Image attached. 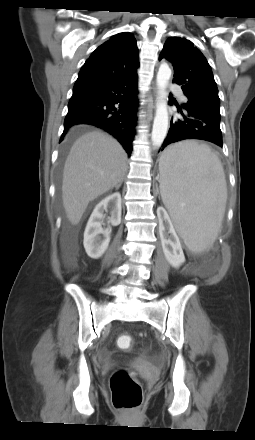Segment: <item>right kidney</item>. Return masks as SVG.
Instances as JSON below:
<instances>
[{"label": "right kidney", "instance_id": "ca27d5eb", "mask_svg": "<svg viewBox=\"0 0 255 440\" xmlns=\"http://www.w3.org/2000/svg\"><path fill=\"white\" fill-rule=\"evenodd\" d=\"M110 209L108 223L118 226L121 223V195L113 193L101 200L94 208L84 231V248L87 255L93 259L100 258L108 248L111 228L103 229L104 211ZM104 238H101L100 235Z\"/></svg>", "mask_w": 255, "mask_h": 440}]
</instances>
